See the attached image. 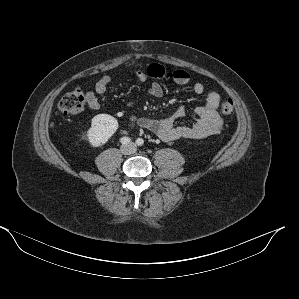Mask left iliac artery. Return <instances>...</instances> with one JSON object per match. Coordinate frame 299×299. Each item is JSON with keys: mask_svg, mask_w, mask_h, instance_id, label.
<instances>
[{"mask_svg": "<svg viewBox=\"0 0 299 299\" xmlns=\"http://www.w3.org/2000/svg\"><path fill=\"white\" fill-rule=\"evenodd\" d=\"M136 144H137L138 146H142V145L144 144V140H143L142 138H138V139L136 140Z\"/></svg>", "mask_w": 299, "mask_h": 299, "instance_id": "left-iliac-artery-1", "label": "left iliac artery"}]
</instances>
